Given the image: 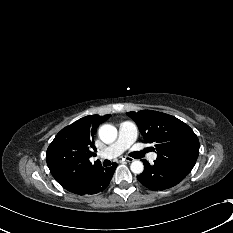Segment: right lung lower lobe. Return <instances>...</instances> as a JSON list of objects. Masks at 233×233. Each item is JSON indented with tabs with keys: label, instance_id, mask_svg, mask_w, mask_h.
I'll list each match as a JSON object with an SVG mask.
<instances>
[{
	"label": "right lung lower lobe",
	"instance_id": "obj_1",
	"mask_svg": "<svg viewBox=\"0 0 233 233\" xmlns=\"http://www.w3.org/2000/svg\"><path fill=\"white\" fill-rule=\"evenodd\" d=\"M116 167L117 164L114 163L112 167L100 169L79 195L96 194L103 191L110 183Z\"/></svg>",
	"mask_w": 233,
	"mask_h": 233
}]
</instances>
